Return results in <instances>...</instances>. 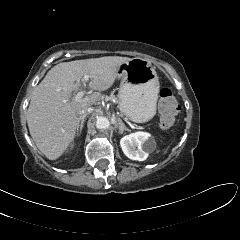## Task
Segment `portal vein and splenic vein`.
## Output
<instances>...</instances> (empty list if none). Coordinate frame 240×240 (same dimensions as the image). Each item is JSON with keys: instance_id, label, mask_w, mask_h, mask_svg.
I'll list each match as a JSON object with an SVG mask.
<instances>
[{"instance_id": "obj_1", "label": "portal vein and splenic vein", "mask_w": 240, "mask_h": 240, "mask_svg": "<svg viewBox=\"0 0 240 240\" xmlns=\"http://www.w3.org/2000/svg\"><path fill=\"white\" fill-rule=\"evenodd\" d=\"M88 80H89V75H84L82 81H83V82H87ZM84 94H85V91H84V90L78 92V93L75 95L74 100H75V101H78V102L83 101L82 97L84 96Z\"/></svg>"}]
</instances>
